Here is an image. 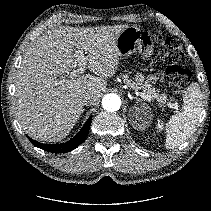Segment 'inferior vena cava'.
<instances>
[{"label": "inferior vena cava", "mask_w": 211, "mask_h": 211, "mask_svg": "<svg viewBox=\"0 0 211 211\" xmlns=\"http://www.w3.org/2000/svg\"><path fill=\"white\" fill-rule=\"evenodd\" d=\"M94 101L93 95H91L90 93H86L80 96V102L83 105L89 106L92 105Z\"/></svg>", "instance_id": "obj_1"}]
</instances>
